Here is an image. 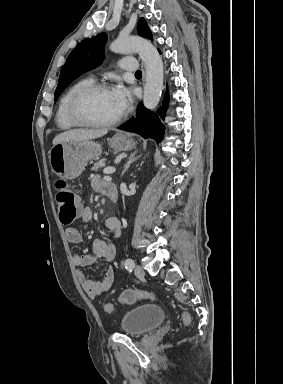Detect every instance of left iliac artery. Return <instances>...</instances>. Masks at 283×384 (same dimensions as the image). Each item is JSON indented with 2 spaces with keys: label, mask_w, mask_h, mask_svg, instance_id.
Segmentation results:
<instances>
[{
  "label": "left iliac artery",
  "mask_w": 283,
  "mask_h": 384,
  "mask_svg": "<svg viewBox=\"0 0 283 384\" xmlns=\"http://www.w3.org/2000/svg\"><path fill=\"white\" fill-rule=\"evenodd\" d=\"M135 267V262L133 259H127L125 261V268L128 270V271H132L133 268Z\"/></svg>",
  "instance_id": "1"
}]
</instances>
